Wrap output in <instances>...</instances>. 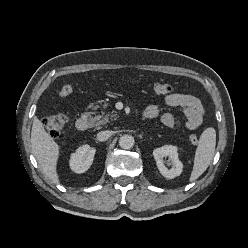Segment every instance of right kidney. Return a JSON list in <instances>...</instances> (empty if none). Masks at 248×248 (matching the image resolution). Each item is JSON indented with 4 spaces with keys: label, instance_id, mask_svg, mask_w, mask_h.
<instances>
[{
    "label": "right kidney",
    "instance_id": "ca27d5eb",
    "mask_svg": "<svg viewBox=\"0 0 248 248\" xmlns=\"http://www.w3.org/2000/svg\"><path fill=\"white\" fill-rule=\"evenodd\" d=\"M95 152L96 149L87 144L79 147L71 155L69 161L71 170L78 174L86 172L93 163Z\"/></svg>",
    "mask_w": 248,
    "mask_h": 248
}]
</instances>
